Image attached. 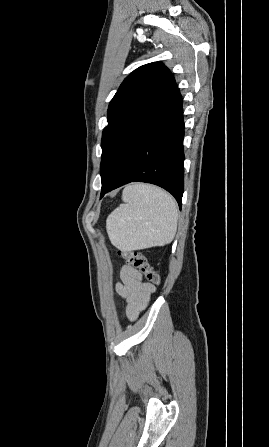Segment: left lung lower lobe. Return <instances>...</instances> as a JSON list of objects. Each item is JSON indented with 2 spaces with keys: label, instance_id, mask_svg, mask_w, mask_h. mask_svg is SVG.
Wrapping results in <instances>:
<instances>
[{
  "label": "left lung lower lobe",
  "instance_id": "1",
  "mask_svg": "<svg viewBox=\"0 0 269 447\" xmlns=\"http://www.w3.org/2000/svg\"><path fill=\"white\" fill-rule=\"evenodd\" d=\"M184 122L182 97L176 88L167 112L143 136L115 179L102 186L107 192L130 182H147L170 192L181 209L184 191Z\"/></svg>",
  "mask_w": 269,
  "mask_h": 447
}]
</instances>
